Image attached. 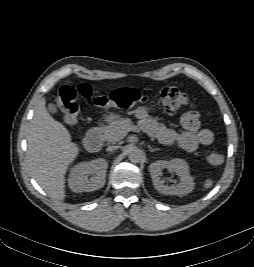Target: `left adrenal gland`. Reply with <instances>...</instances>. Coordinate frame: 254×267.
Wrapping results in <instances>:
<instances>
[{
	"label": "left adrenal gland",
	"instance_id": "obj_1",
	"mask_svg": "<svg viewBox=\"0 0 254 267\" xmlns=\"http://www.w3.org/2000/svg\"><path fill=\"white\" fill-rule=\"evenodd\" d=\"M158 150H160L159 148H151L150 146H149V151L150 152H155V151H158Z\"/></svg>",
	"mask_w": 254,
	"mask_h": 267
}]
</instances>
